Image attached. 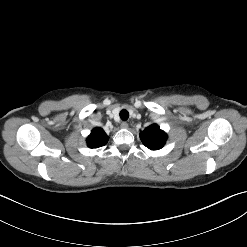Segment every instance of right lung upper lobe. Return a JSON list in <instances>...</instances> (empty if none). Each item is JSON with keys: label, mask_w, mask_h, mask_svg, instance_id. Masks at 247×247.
<instances>
[{"label": "right lung upper lobe", "mask_w": 247, "mask_h": 247, "mask_svg": "<svg viewBox=\"0 0 247 247\" xmlns=\"http://www.w3.org/2000/svg\"><path fill=\"white\" fill-rule=\"evenodd\" d=\"M108 141V136L101 128H94L87 138L89 148H98L104 146Z\"/></svg>", "instance_id": "obj_1"}]
</instances>
